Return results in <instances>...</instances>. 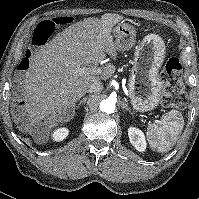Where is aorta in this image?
<instances>
[{
    "label": "aorta",
    "instance_id": "obj_1",
    "mask_svg": "<svg viewBox=\"0 0 199 199\" xmlns=\"http://www.w3.org/2000/svg\"><path fill=\"white\" fill-rule=\"evenodd\" d=\"M100 110L107 114H111L115 110V103L110 99H105L100 102Z\"/></svg>",
    "mask_w": 199,
    "mask_h": 199
}]
</instances>
